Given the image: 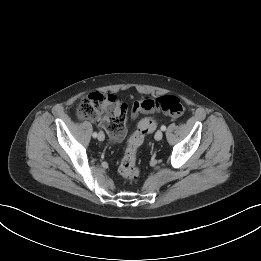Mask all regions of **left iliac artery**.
I'll return each instance as SVG.
<instances>
[{"label": "left iliac artery", "mask_w": 261, "mask_h": 261, "mask_svg": "<svg viewBox=\"0 0 261 261\" xmlns=\"http://www.w3.org/2000/svg\"><path fill=\"white\" fill-rule=\"evenodd\" d=\"M161 130H162V131H165V130H166V126L162 125V126H161Z\"/></svg>", "instance_id": "obj_1"}]
</instances>
